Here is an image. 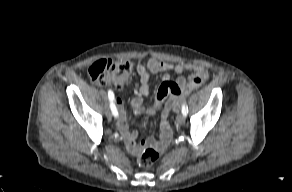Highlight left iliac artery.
Masks as SVG:
<instances>
[{
	"instance_id": "left-iliac-artery-1",
	"label": "left iliac artery",
	"mask_w": 292,
	"mask_h": 192,
	"mask_svg": "<svg viewBox=\"0 0 292 192\" xmlns=\"http://www.w3.org/2000/svg\"><path fill=\"white\" fill-rule=\"evenodd\" d=\"M187 113H188V107H187V105H186V102H184L183 105H182V114H183L184 116H186Z\"/></svg>"
}]
</instances>
